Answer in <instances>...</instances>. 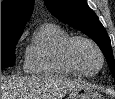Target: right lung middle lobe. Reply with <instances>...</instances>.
<instances>
[{"label": "right lung middle lobe", "mask_w": 115, "mask_h": 99, "mask_svg": "<svg viewBox=\"0 0 115 99\" xmlns=\"http://www.w3.org/2000/svg\"><path fill=\"white\" fill-rule=\"evenodd\" d=\"M21 34L1 35V68L15 64V47Z\"/></svg>", "instance_id": "dd1d6c3e"}]
</instances>
